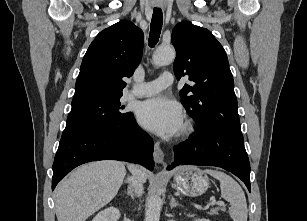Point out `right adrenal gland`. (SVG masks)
<instances>
[{
	"label": "right adrenal gland",
	"mask_w": 307,
	"mask_h": 221,
	"mask_svg": "<svg viewBox=\"0 0 307 221\" xmlns=\"http://www.w3.org/2000/svg\"><path fill=\"white\" fill-rule=\"evenodd\" d=\"M129 196H131V198L134 200V193H133V189H132V186L131 185H128V188H127V192H126Z\"/></svg>",
	"instance_id": "1"
}]
</instances>
